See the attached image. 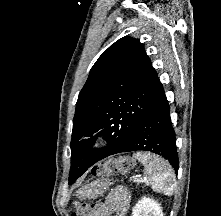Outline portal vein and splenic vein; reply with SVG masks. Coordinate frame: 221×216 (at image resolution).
Instances as JSON below:
<instances>
[{
    "label": "portal vein and splenic vein",
    "mask_w": 221,
    "mask_h": 216,
    "mask_svg": "<svg viewBox=\"0 0 221 216\" xmlns=\"http://www.w3.org/2000/svg\"><path fill=\"white\" fill-rule=\"evenodd\" d=\"M134 181H135V182H139V181H141V179L136 178V179H134Z\"/></svg>",
    "instance_id": "1"
}]
</instances>
